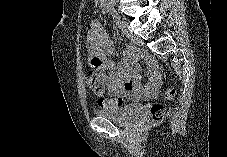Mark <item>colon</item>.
Instances as JSON below:
<instances>
[{
  "label": "colon",
  "mask_w": 227,
  "mask_h": 157,
  "mask_svg": "<svg viewBox=\"0 0 227 157\" xmlns=\"http://www.w3.org/2000/svg\"><path fill=\"white\" fill-rule=\"evenodd\" d=\"M99 63V62H94ZM89 87L98 95H103L104 91V78L99 73H90L87 78ZM176 94V90L174 88H169L165 91V99L172 100L174 99ZM100 106L104 108L108 107H117L122 104V100L120 98L111 99L107 97H100L99 99ZM169 113V109L167 106L161 103H154L150 108V116L154 122H160L164 120Z\"/></svg>",
  "instance_id": "obj_1"
}]
</instances>
